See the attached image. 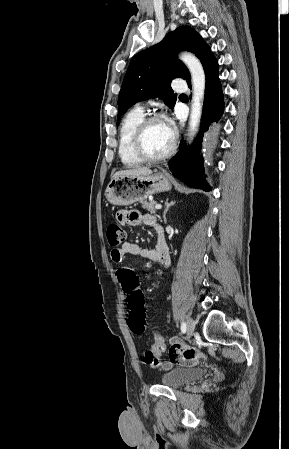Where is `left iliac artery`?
Here are the masks:
<instances>
[{
    "mask_svg": "<svg viewBox=\"0 0 289 449\" xmlns=\"http://www.w3.org/2000/svg\"><path fill=\"white\" fill-rule=\"evenodd\" d=\"M181 331H182V333L186 332V323L185 322H182V324H181Z\"/></svg>",
    "mask_w": 289,
    "mask_h": 449,
    "instance_id": "1",
    "label": "left iliac artery"
}]
</instances>
